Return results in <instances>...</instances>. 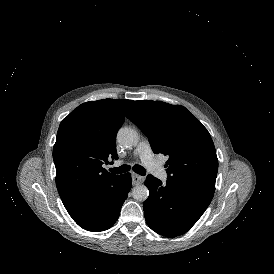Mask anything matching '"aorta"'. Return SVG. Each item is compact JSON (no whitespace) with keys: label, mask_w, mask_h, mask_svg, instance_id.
I'll return each instance as SVG.
<instances>
[{"label":"aorta","mask_w":274,"mask_h":274,"mask_svg":"<svg viewBox=\"0 0 274 274\" xmlns=\"http://www.w3.org/2000/svg\"><path fill=\"white\" fill-rule=\"evenodd\" d=\"M117 141L126 148L136 146L139 136L136 130L128 127L121 128L117 133ZM132 196L136 201H145L149 196V190L145 185H137L132 190Z\"/></svg>","instance_id":"obj_1"}]
</instances>
